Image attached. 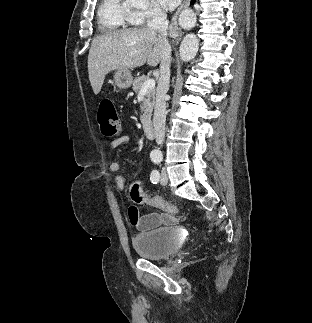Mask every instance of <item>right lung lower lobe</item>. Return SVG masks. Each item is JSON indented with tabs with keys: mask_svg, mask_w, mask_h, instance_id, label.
I'll use <instances>...</instances> for the list:
<instances>
[{
	"mask_svg": "<svg viewBox=\"0 0 312 323\" xmlns=\"http://www.w3.org/2000/svg\"><path fill=\"white\" fill-rule=\"evenodd\" d=\"M195 2V0H191V3H194Z\"/></svg>",
	"mask_w": 312,
	"mask_h": 323,
	"instance_id": "obj_1",
	"label": "right lung lower lobe"
}]
</instances>
